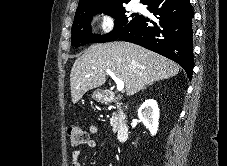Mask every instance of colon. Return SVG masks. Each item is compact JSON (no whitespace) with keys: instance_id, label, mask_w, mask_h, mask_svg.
<instances>
[{"instance_id":"colon-1","label":"colon","mask_w":227,"mask_h":166,"mask_svg":"<svg viewBox=\"0 0 227 166\" xmlns=\"http://www.w3.org/2000/svg\"><path fill=\"white\" fill-rule=\"evenodd\" d=\"M67 136L69 144L73 147L87 144L89 141V135L87 132L77 125H71L67 128Z\"/></svg>"}]
</instances>
